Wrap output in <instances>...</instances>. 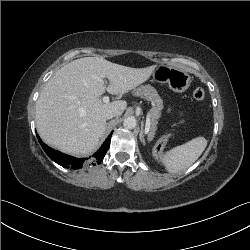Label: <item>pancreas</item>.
<instances>
[{
	"label": "pancreas",
	"mask_w": 250,
	"mask_h": 250,
	"mask_svg": "<svg viewBox=\"0 0 250 250\" xmlns=\"http://www.w3.org/2000/svg\"><path fill=\"white\" fill-rule=\"evenodd\" d=\"M133 94L136 96H139L141 98L146 99L147 101L152 102L153 107L150 110V120H151V125L148 133V138L149 140H152L155 136L156 130H157V123L158 119L160 118L161 115V110L163 109V100L157 93L156 89L153 88L150 85H141L137 88H134ZM169 135L163 136L159 142H167Z\"/></svg>",
	"instance_id": "1"
}]
</instances>
